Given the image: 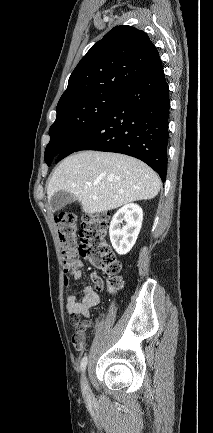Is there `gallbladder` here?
Masks as SVG:
<instances>
[{"label":"gallbladder","mask_w":213,"mask_h":433,"mask_svg":"<svg viewBox=\"0 0 213 433\" xmlns=\"http://www.w3.org/2000/svg\"><path fill=\"white\" fill-rule=\"evenodd\" d=\"M75 201H76V197L72 193L61 190L56 192L51 198L50 207L53 211H57Z\"/></svg>","instance_id":"1"}]
</instances>
